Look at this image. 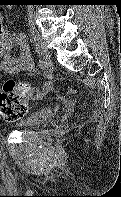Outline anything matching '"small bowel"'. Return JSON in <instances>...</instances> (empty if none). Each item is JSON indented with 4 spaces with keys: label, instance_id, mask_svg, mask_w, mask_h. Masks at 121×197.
Listing matches in <instances>:
<instances>
[{
    "label": "small bowel",
    "instance_id": "obj_1",
    "mask_svg": "<svg viewBox=\"0 0 121 197\" xmlns=\"http://www.w3.org/2000/svg\"><path fill=\"white\" fill-rule=\"evenodd\" d=\"M3 14L0 12V72L13 74L22 70H31L34 66L32 54L26 36L22 32H9L2 26ZM18 47L20 55L15 57L13 49ZM51 81L34 89V100L42 99L51 90Z\"/></svg>",
    "mask_w": 121,
    "mask_h": 197
}]
</instances>
